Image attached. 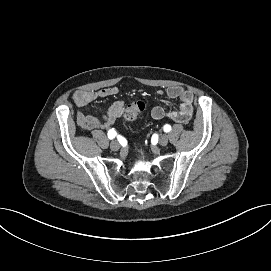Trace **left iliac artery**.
<instances>
[{"label":"left iliac artery","mask_w":271,"mask_h":271,"mask_svg":"<svg viewBox=\"0 0 271 271\" xmlns=\"http://www.w3.org/2000/svg\"><path fill=\"white\" fill-rule=\"evenodd\" d=\"M170 130H171V126L168 125V124H166V125L164 126V131H165V132H169Z\"/></svg>","instance_id":"1"}]
</instances>
